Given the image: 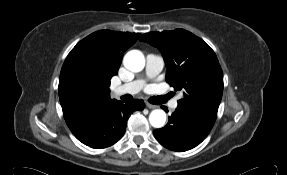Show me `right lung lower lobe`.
I'll return each instance as SVG.
<instances>
[{
	"instance_id": "98d812e1",
	"label": "right lung lower lobe",
	"mask_w": 287,
	"mask_h": 175,
	"mask_svg": "<svg viewBox=\"0 0 287 175\" xmlns=\"http://www.w3.org/2000/svg\"><path fill=\"white\" fill-rule=\"evenodd\" d=\"M143 100L126 102L112 100L96 108L87 117L67 124L74 136L83 144L95 148H107L119 141L125 133L129 115L144 109Z\"/></svg>"
}]
</instances>
